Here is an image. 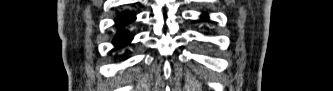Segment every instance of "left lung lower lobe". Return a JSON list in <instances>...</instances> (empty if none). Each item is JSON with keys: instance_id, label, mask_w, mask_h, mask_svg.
I'll return each instance as SVG.
<instances>
[{"instance_id": "0a47b994", "label": "left lung lower lobe", "mask_w": 333, "mask_h": 91, "mask_svg": "<svg viewBox=\"0 0 333 91\" xmlns=\"http://www.w3.org/2000/svg\"><path fill=\"white\" fill-rule=\"evenodd\" d=\"M202 18L205 20V19H207V16L204 14V15H202Z\"/></svg>"}]
</instances>
